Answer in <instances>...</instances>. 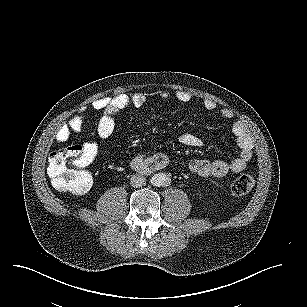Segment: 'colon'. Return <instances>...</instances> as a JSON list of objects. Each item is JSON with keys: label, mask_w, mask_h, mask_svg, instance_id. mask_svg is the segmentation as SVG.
Listing matches in <instances>:
<instances>
[{"label": "colon", "mask_w": 307, "mask_h": 307, "mask_svg": "<svg viewBox=\"0 0 307 307\" xmlns=\"http://www.w3.org/2000/svg\"><path fill=\"white\" fill-rule=\"evenodd\" d=\"M83 150L80 146H70L53 152L48 160L47 171L54 188L82 194L89 190L92 175L87 169ZM255 183L251 172L237 176L231 183V192L242 196L248 194Z\"/></svg>", "instance_id": "obj_1"}]
</instances>
